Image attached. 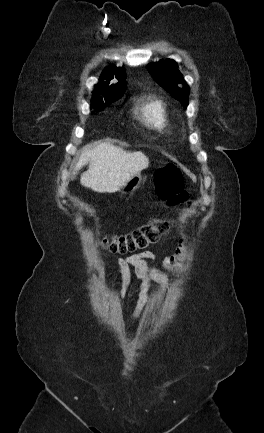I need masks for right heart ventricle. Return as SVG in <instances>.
I'll return each instance as SVG.
<instances>
[{
    "instance_id": "right-heart-ventricle-1",
    "label": "right heart ventricle",
    "mask_w": 264,
    "mask_h": 433,
    "mask_svg": "<svg viewBox=\"0 0 264 433\" xmlns=\"http://www.w3.org/2000/svg\"><path fill=\"white\" fill-rule=\"evenodd\" d=\"M136 115L145 126L157 132L170 134L174 129L172 116L161 99L141 98L136 106Z\"/></svg>"
}]
</instances>
